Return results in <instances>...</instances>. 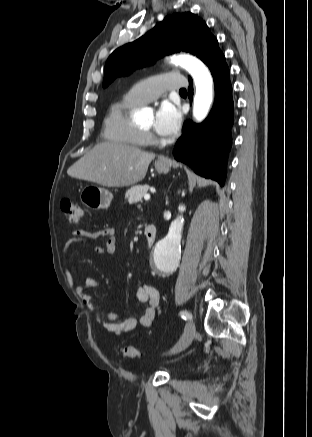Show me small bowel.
<instances>
[{"label":"small bowel","mask_w":312,"mask_h":437,"mask_svg":"<svg viewBox=\"0 0 312 437\" xmlns=\"http://www.w3.org/2000/svg\"><path fill=\"white\" fill-rule=\"evenodd\" d=\"M105 238L106 243L98 250L107 253H113L116 250V229L112 226L104 227L96 231L77 230L72 233V237L66 244L68 248L71 244L80 241H90L98 238ZM98 287V280L94 277H88L85 285L75 286V290L80 296L83 303L90 308L96 315V320L110 333L122 335L133 330L138 324L143 327H150L155 319L159 306L160 296L158 290L148 284L140 285L136 290L137 299L146 304L143 313L138 317H128L120 320V316L114 311H101L96 304L94 297L90 293Z\"/></svg>","instance_id":"1"}]
</instances>
